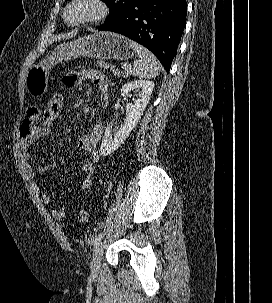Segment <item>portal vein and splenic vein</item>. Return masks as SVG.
<instances>
[{
    "instance_id": "18ae733b",
    "label": "portal vein and splenic vein",
    "mask_w": 272,
    "mask_h": 303,
    "mask_svg": "<svg viewBox=\"0 0 272 303\" xmlns=\"http://www.w3.org/2000/svg\"><path fill=\"white\" fill-rule=\"evenodd\" d=\"M124 68H125V69H130V70L132 69L131 65H129V64H125V65H124Z\"/></svg>"
}]
</instances>
